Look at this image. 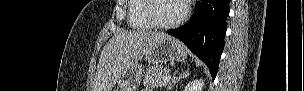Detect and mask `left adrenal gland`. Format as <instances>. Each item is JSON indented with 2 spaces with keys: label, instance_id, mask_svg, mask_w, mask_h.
<instances>
[{
  "label": "left adrenal gland",
  "instance_id": "obj_1",
  "mask_svg": "<svg viewBox=\"0 0 304 91\" xmlns=\"http://www.w3.org/2000/svg\"><path fill=\"white\" fill-rule=\"evenodd\" d=\"M178 74V70L174 72L173 77L171 79V82L169 83L168 87H167V91H169L171 88H173L179 81H181L183 78H187L189 76V73H182L181 75H179L177 77Z\"/></svg>",
  "mask_w": 304,
  "mask_h": 91
}]
</instances>
